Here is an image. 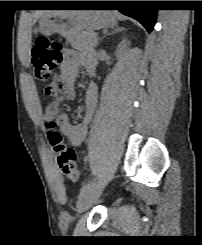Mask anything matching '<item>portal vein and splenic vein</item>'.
Returning <instances> with one entry per match:
<instances>
[{"mask_svg":"<svg viewBox=\"0 0 202 245\" xmlns=\"http://www.w3.org/2000/svg\"><path fill=\"white\" fill-rule=\"evenodd\" d=\"M95 42L97 43L98 42V38L96 37V39H95Z\"/></svg>","mask_w":202,"mask_h":245,"instance_id":"portal-vein-and-splenic-vein-1","label":"portal vein and splenic vein"}]
</instances>
